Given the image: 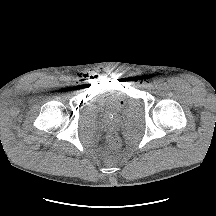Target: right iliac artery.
I'll return each instance as SVG.
<instances>
[{
	"mask_svg": "<svg viewBox=\"0 0 216 216\" xmlns=\"http://www.w3.org/2000/svg\"><path fill=\"white\" fill-rule=\"evenodd\" d=\"M64 79H65V77H64V76L60 77V80H61V81H64Z\"/></svg>",
	"mask_w": 216,
	"mask_h": 216,
	"instance_id": "right-iliac-artery-1",
	"label": "right iliac artery"
}]
</instances>
